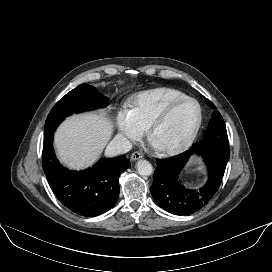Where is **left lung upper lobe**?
I'll return each instance as SVG.
<instances>
[{
	"instance_id": "1",
	"label": "left lung upper lobe",
	"mask_w": 272,
	"mask_h": 272,
	"mask_svg": "<svg viewBox=\"0 0 272 272\" xmlns=\"http://www.w3.org/2000/svg\"><path fill=\"white\" fill-rule=\"evenodd\" d=\"M206 102L209 106L214 108V105L208 99H206ZM201 141L212 142L229 148L226 126L219 112L214 111L212 113V119L209 123L208 129L205 132V137Z\"/></svg>"
}]
</instances>
